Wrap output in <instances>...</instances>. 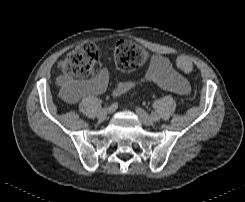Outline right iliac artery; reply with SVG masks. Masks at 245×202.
<instances>
[{"label":"right iliac artery","instance_id":"right-iliac-artery-1","mask_svg":"<svg viewBox=\"0 0 245 202\" xmlns=\"http://www.w3.org/2000/svg\"><path fill=\"white\" fill-rule=\"evenodd\" d=\"M118 105L116 102L112 103L109 107L110 112H113L117 109Z\"/></svg>","mask_w":245,"mask_h":202}]
</instances>
